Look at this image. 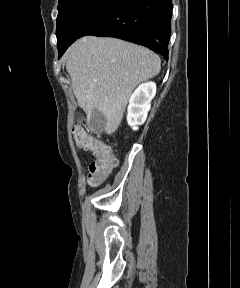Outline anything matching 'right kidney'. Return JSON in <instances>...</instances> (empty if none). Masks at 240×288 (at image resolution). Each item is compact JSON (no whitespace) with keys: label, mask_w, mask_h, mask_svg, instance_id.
Wrapping results in <instances>:
<instances>
[{"label":"right kidney","mask_w":240,"mask_h":288,"mask_svg":"<svg viewBox=\"0 0 240 288\" xmlns=\"http://www.w3.org/2000/svg\"><path fill=\"white\" fill-rule=\"evenodd\" d=\"M155 94L156 84L146 82L139 85L131 95L127 109V122L133 130H138V126L145 122Z\"/></svg>","instance_id":"obj_1"}]
</instances>
